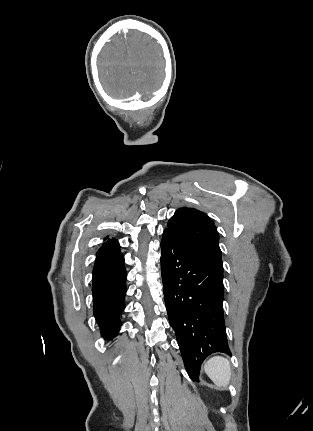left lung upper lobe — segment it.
Here are the masks:
<instances>
[{"instance_id": "left-lung-upper-lobe-1", "label": "left lung upper lobe", "mask_w": 313, "mask_h": 431, "mask_svg": "<svg viewBox=\"0 0 313 431\" xmlns=\"http://www.w3.org/2000/svg\"><path fill=\"white\" fill-rule=\"evenodd\" d=\"M183 248L205 258L223 271L219 235L214 222L194 208H179L164 230Z\"/></svg>"}]
</instances>
